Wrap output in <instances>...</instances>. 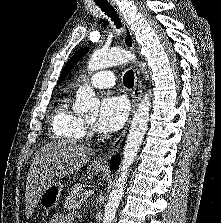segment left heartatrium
I'll return each instance as SVG.
<instances>
[{"instance_id":"39dd6f15","label":"left heart atrium","mask_w":221,"mask_h":223,"mask_svg":"<svg viewBox=\"0 0 221 223\" xmlns=\"http://www.w3.org/2000/svg\"><path fill=\"white\" fill-rule=\"evenodd\" d=\"M128 113L129 107L123 97L108 96L101 103L96 126L101 132H114L124 124Z\"/></svg>"}]
</instances>
